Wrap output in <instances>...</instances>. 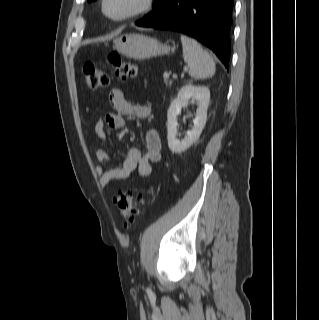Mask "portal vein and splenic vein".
<instances>
[{
	"mask_svg": "<svg viewBox=\"0 0 319 320\" xmlns=\"http://www.w3.org/2000/svg\"><path fill=\"white\" fill-rule=\"evenodd\" d=\"M169 76H170V74H169V73H167V72H165V73L163 74V78H165V79H168V78H169Z\"/></svg>",
	"mask_w": 319,
	"mask_h": 320,
	"instance_id": "obj_1",
	"label": "portal vein and splenic vein"
}]
</instances>
